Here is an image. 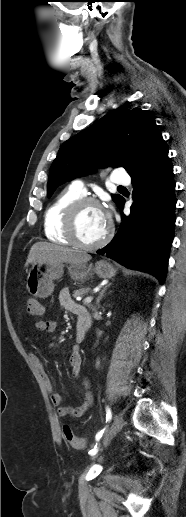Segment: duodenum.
<instances>
[{
	"instance_id": "1",
	"label": "duodenum",
	"mask_w": 186,
	"mask_h": 517,
	"mask_svg": "<svg viewBox=\"0 0 186 517\" xmlns=\"http://www.w3.org/2000/svg\"><path fill=\"white\" fill-rule=\"evenodd\" d=\"M92 323L91 315L85 308L79 311L77 319V333L78 337L83 340L86 332L90 328Z\"/></svg>"
}]
</instances>
